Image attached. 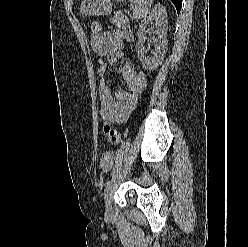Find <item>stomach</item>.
Segmentation results:
<instances>
[{
  "instance_id": "1",
  "label": "stomach",
  "mask_w": 248,
  "mask_h": 247,
  "mask_svg": "<svg viewBox=\"0 0 248 247\" xmlns=\"http://www.w3.org/2000/svg\"><path fill=\"white\" fill-rule=\"evenodd\" d=\"M112 6L111 0H83L80 11L84 15H107L111 13Z\"/></svg>"
}]
</instances>
